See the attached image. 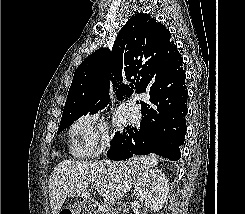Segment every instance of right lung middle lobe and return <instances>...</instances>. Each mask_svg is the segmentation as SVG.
<instances>
[{"mask_svg":"<svg viewBox=\"0 0 245 214\" xmlns=\"http://www.w3.org/2000/svg\"><path fill=\"white\" fill-rule=\"evenodd\" d=\"M100 109L92 110V111H82V112H76V113H70V114H63L60 122V127L58 129L57 134H59L61 131H63L65 128L69 127L75 120H77L80 116L87 114L90 112V114H93L97 112ZM121 137L119 133H116L112 144H116L120 141Z\"/></svg>","mask_w":245,"mask_h":214,"instance_id":"1","label":"right lung middle lobe"}]
</instances>
